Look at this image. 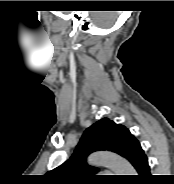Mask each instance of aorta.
Segmentation results:
<instances>
[{
	"label": "aorta",
	"mask_w": 174,
	"mask_h": 184,
	"mask_svg": "<svg viewBox=\"0 0 174 184\" xmlns=\"http://www.w3.org/2000/svg\"><path fill=\"white\" fill-rule=\"evenodd\" d=\"M88 162L91 165H103L111 169L117 175H134L135 170L132 165L123 157L107 151L92 153Z\"/></svg>",
	"instance_id": "aorta-1"
}]
</instances>
